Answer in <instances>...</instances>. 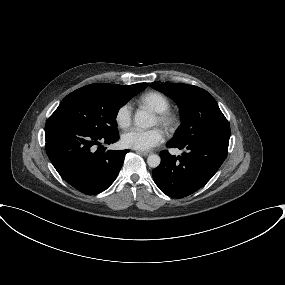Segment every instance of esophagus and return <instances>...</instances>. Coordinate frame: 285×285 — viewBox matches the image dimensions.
Masks as SVG:
<instances>
[{"mask_svg": "<svg viewBox=\"0 0 285 285\" xmlns=\"http://www.w3.org/2000/svg\"><path fill=\"white\" fill-rule=\"evenodd\" d=\"M137 152L143 156H149L151 154V152H145V151H137Z\"/></svg>", "mask_w": 285, "mask_h": 285, "instance_id": "34e87169", "label": "esophagus"}]
</instances>
